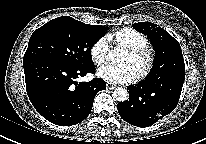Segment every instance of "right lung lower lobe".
<instances>
[{"instance_id":"right-lung-lower-lobe-1","label":"right lung lower lobe","mask_w":206,"mask_h":144,"mask_svg":"<svg viewBox=\"0 0 206 144\" xmlns=\"http://www.w3.org/2000/svg\"><path fill=\"white\" fill-rule=\"evenodd\" d=\"M27 95L35 109L49 122L71 126L88 117L96 93L106 89V82L75 79L94 73V64L74 68L46 59L23 61Z\"/></svg>"}]
</instances>
